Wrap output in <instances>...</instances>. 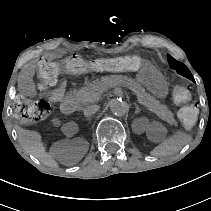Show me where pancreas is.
I'll list each match as a JSON object with an SVG mask.
<instances>
[{"mask_svg":"<svg viewBox=\"0 0 211 211\" xmlns=\"http://www.w3.org/2000/svg\"><path fill=\"white\" fill-rule=\"evenodd\" d=\"M118 85L123 87L126 86L132 90L136 94L138 101L148 107L150 111L156 113L159 118L170 125H177L173 113L166 105L160 104L159 101L145 91L140 83L127 76L105 75L95 81L94 84L73 92L69 99V104L73 108H78L82 103H91L97 99L100 93L106 91L110 87Z\"/></svg>","mask_w":211,"mask_h":211,"instance_id":"cf45deb5","label":"pancreas"}]
</instances>
